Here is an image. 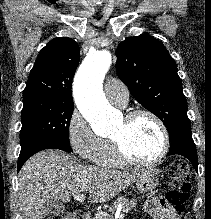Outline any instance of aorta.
<instances>
[{
  "instance_id": "aorta-1",
  "label": "aorta",
  "mask_w": 211,
  "mask_h": 219,
  "mask_svg": "<svg viewBox=\"0 0 211 219\" xmlns=\"http://www.w3.org/2000/svg\"><path fill=\"white\" fill-rule=\"evenodd\" d=\"M111 61V54L107 50L91 51L74 79L73 94L76 105L98 136H108L116 119V112L102 90L103 79Z\"/></svg>"
}]
</instances>
